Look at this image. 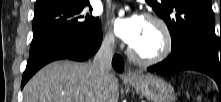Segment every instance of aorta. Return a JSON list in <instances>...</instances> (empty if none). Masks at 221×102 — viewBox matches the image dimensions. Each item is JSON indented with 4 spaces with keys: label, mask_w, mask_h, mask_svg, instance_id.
<instances>
[{
    "label": "aorta",
    "mask_w": 221,
    "mask_h": 102,
    "mask_svg": "<svg viewBox=\"0 0 221 102\" xmlns=\"http://www.w3.org/2000/svg\"><path fill=\"white\" fill-rule=\"evenodd\" d=\"M122 14H123V11L120 12V15H122Z\"/></svg>",
    "instance_id": "762f6f07"
}]
</instances>
